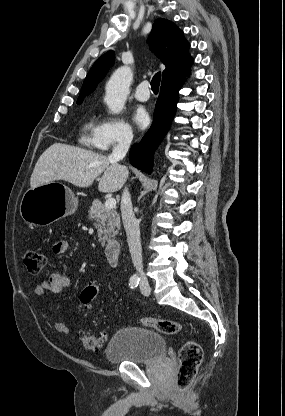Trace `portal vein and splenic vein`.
Segmentation results:
<instances>
[{
	"label": "portal vein and splenic vein",
	"mask_w": 285,
	"mask_h": 416,
	"mask_svg": "<svg viewBox=\"0 0 285 416\" xmlns=\"http://www.w3.org/2000/svg\"><path fill=\"white\" fill-rule=\"evenodd\" d=\"M115 206L116 200H114V198H108V200H106L105 208H107V210H112V208H115Z\"/></svg>",
	"instance_id": "1"
}]
</instances>
